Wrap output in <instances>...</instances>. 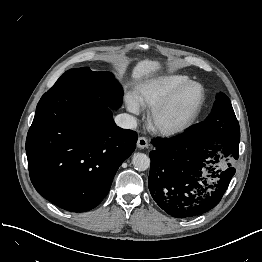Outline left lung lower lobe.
Returning a JSON list of instances; mask_svg holds the SVG:
<instances>
[{
    "label": "left lung lower lobe",
    "mask_w": 262,
    "mask_h": 262,
    "mask_svg": "<svg viewBox=\"0 0 262 262\" xmlns=\"http://www.w3.org/2000/svg\"><path fill=\"white\" fill-rule=\"evenodd\" d=\"M239 141L240 131L152 139L148 187L154 201L176 218L214 208L235 174L232 161L238 159Z\"/></svg>",
    "instance_id": "obj_1"
}]
</instances>
